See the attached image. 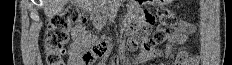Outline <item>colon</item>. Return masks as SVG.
<instances>
[{"label": "colon", "mask_w": 232, "mask_h": 65, "mask_svg": "<svg viewBox=\"0 0 232 65\" xmlns=\"http://www.w3.org/2000/svg\"><path fill=\"white\" fill-rule=\"evenodd\" d=\"M158 25L152 36L144 39L141 49L148 51L166 42L176 31V18L163 1H156ZM87 17L75 6H70L63 12L52 17L44 39L47 65H64L63 55L69 39V30L74 25H83ZM109 50V45L102 42L86 50L82 55L84 65L94 64Z\"/></svg>", "instance_id": "obj_1"}]
</instances>
